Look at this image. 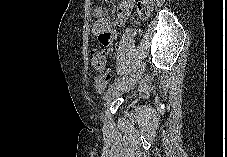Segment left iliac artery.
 <instances>
[{"instance_id":"1","label":"left iliac artery","mask_w":227,"mask_h":157,"mask_svg":"<svg viewBox=\"0 0 227 157\" xmlns=\"http://www.w3.org/2000/svg\"><path fill=\"white\" fill-rule=\"evenodd\" d=\"M125 79H126V76H124V77H122V78H120V79L115 80L114 83H111V84L109 85V89H111V88H113L115 85L120 84L121 82L125 81Z\"/></svg>"}]
</instances>
